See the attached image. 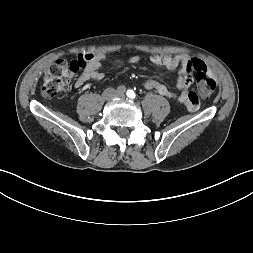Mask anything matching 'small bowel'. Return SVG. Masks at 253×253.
Here are the masks:
<instances>
[{"instance_id": "obj_1", "label": "small bowel", "mask_w": 253, "mask_h": 253, "mask_svg": "<svg viewBox=\"0 0 253 253\" xmlns=\"http://www.w3.org/2000/svg\"><path fill=\"white\" fill-rule=\"evenodd\" d=\"M91 55L92 57L89 60L86 69L75 82V86L77 88L82 87L89 80H102L104 78V73L100 71V67L106 58L105 54L94 53ZM139 61V56H132L129 59L131 64H137ZM150 61L152 64L168 70H175L179 68V76L176 81V87L181 91V93L178 96V100L181 103H185L186 107L194 112H199L202 110L203 103L200 100L199 94L188 90L189 86L192 84V79L189 76V71L191 70L190 59L187 56L177 55L171 57L153 55L151 56ZM144 87L147 90H155L161 96L167 98H176V95L165 84L155 79L146 80Z\"/></svg>"}]
</instances>
